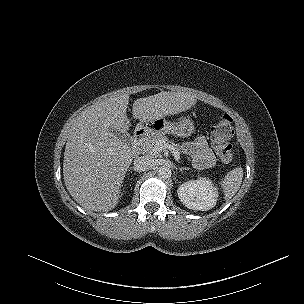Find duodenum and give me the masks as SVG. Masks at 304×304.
<instances>
[{
    "instance_id": "duodenum-1",
    "label": "duodenum",
    "mask_w": 304,
    "mask_h": 304,
    "mask_svg": "<svg viewBox=\"0 0 304 304\" xmlns=\"http://www.w3.org/2000/svg\"><path fill=\"white\" fill-rule=\"evenodd\" d=\"M146 139V133L142 130H137L133 135V148H139Z\"/></svg>"
}]
</instances>
